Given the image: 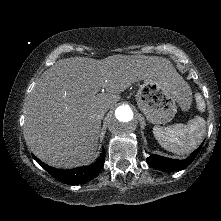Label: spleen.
<instances>
[{
    "label": "spleen",
    "mask_w": 221,
    "mask_h": 221,
    "mask_svg": "<svg viewBox=\"0 0 221 221\" xmlns=\"http://www.w3.org/2000/svg\"><path fill=\"white\" fill-rule=\"evenodd\" d=\"M195 100L198 110L204 111L205 102L199 93L195 94ZM205 127V120L196 116L188 124H174L168 127L154 126L153 134L165 150L176 154H186L200 144Z\"/></svg>",
    "instance_id": "3e777b00"
}]
</instances>
